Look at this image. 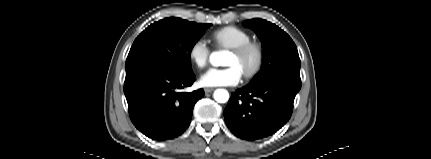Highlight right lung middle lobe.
I'll use <instances>...</instances> for the list:
<instances>
[{
	"mask_svg": "<svg viewBox=\"0 0 431 159\" xmlns=\"http://www.w3.org/2000/svg\"><path fill=\"white\" fill-rule=\"evenodd\" d=\"M210 26L174 17L151 24L134 41L126 59V73L151 64L191 73V50Z\"/></svg>",
	"mask_w": 431,
	"mask_h": 159,
	"instance_id": "dd1d6c3e",
	"label": "right lung middle lobe"
}]
</instances>
